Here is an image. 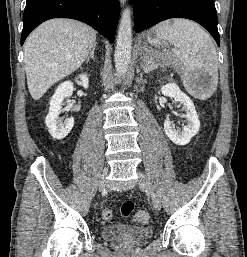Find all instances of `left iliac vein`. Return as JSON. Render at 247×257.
<instances>
[{
  "label": "left iliac vein",
  "instance_id": "left-iliac-vein-1",
  "mask_svg": "<svg viewBox=\"0 0 247 257\" xmlns=\"http://www.w3.org/2000/svg\"><path fill=\"white\" fill-rule=\"evenodd\" d=\"M138 184L140 187L146 189L151 196L152 204L154 208L159 211L161 209V202L159 196L157 195L152 183L150 182L149 178L142 172H138Z\"/></svg>",
  "mask_w": 247,
  "mask_h": 257
}]
</instances>
